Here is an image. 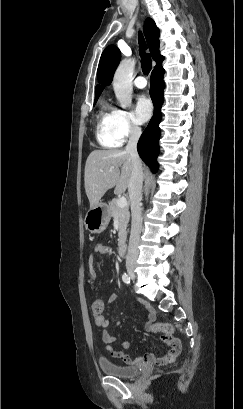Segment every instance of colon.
<instances>
[{
  "label": "colon",
  "instance_id": "colon-1",
  "mask_svg": "<svg viewBox=\"0 0 243 409\" xmlns=\"http://www.w3.org/2000/svg\"><path fill=\"white\" fill-rule=\"evenodd\" d=\"M103 309V302L101 299H96L92 303V311L93 314H98L102 311ZM153 331L154 332H163V333H172L173 327L170 324L167 323H156L153 325Z\"/></svg>",
  "mask_w": 243,
  "mask_h": 409
}]
</instances>
